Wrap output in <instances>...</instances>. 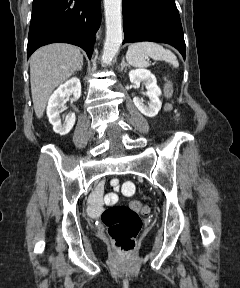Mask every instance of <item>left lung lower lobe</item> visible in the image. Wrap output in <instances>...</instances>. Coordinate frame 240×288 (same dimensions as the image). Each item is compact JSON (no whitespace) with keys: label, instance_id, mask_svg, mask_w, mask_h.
Returning <instances> with one entry per match:
<instances>
[{"label":"left lung lower lobe","instance_id":"left-lung-lower-lobe-1","mask_svg":"<svg viewBox=\"0 0 240 288\" xmlns=\"http://www.w3.org/2000/svg\"><path fill=\"white\" fill-rule=\"evenodd\" d=\"M124 41L174 46L185 59V41L175 0H122Z\"/></svg>","mask_w":240,"mask_h":288}]
</instances>
